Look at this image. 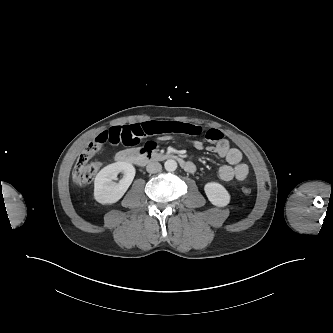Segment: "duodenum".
I'll list each match as a JSON object with an SVG mask.
<instances>
[{
    "instance_id": "1",
    "label": "duodenum",
    "mask_w": 333,
    "mask_h": 333,
    "mask_svg": "<svg viewBox=\"0 0 333 333\" xmlns=\"http://www.w3.org/2000/svg\"><path fill=\"white\" fill-rule=\"evenodd\" d=\"M117 159L120 162L137 164L140 166H144L151 162L174 160L177 161L184 170H190L189 162L185 161L180 155L175 153H157L145 150L127 149L120 152Z\"/></svg>"
}]
</instances>
